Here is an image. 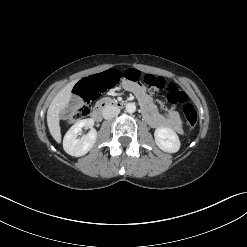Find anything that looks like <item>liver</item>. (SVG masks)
<instances>
[{
    "label": "liver",
    "mask_w": 247,
    "mask_h": 247,
    "mask_svg": "<svg viewBox=\"0 0 247 247\" xmlns=\"http://www.w3.org/2000/svg\"><path fill=\"white\" fill-rule=\"evenodd\" d=\"M76 81L68 83L54 97L47 111V124L50 134L57 143L61 142L60 112L68 105L71 99V91Z\"/></svg>",
    "instance_id": "6515ba94"
}]
</instances>
